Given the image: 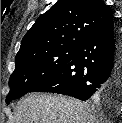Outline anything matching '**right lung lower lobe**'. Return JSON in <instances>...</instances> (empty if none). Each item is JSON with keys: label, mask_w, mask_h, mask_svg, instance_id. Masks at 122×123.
<instances>
[{"label": "right lung lower lobe", "mask_w": 122, "mask_h": 123, "mask_svg": "<svg viewBox=\"0 0 122 123\" xmlns=\"http://www.w3.org/2000/svg\"><path fill=\"white\" fill-rule=\"evenodd\" d=\"M52 92L88 100L96 95L122 96V39L111 20L92 32L73 58L30 92Z\"/></svg>", "instance_id": "obj_1"}]
</instances>
